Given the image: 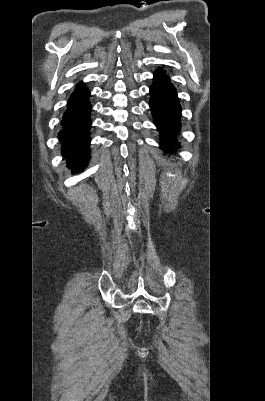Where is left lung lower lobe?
<instances>
[{
	"label": "left lung lower lobe",
	"instance_id": "left-lung-lower-lobe-1",
	"mask_svg": "<svg viewBox=\"0 0 265 401\" xmlns=\"http://www.w3.org/2000/svg\"><path fill=\"white\" fill-rule=\"evenodd\" d=\"M150 108L154 124L162 135L161 147L171 151L175 145L174 136L180 129L181 106L177 92L170 79L162 70L154 73V82L150 87Z\"/></svg>",
	"mask_w": 265,
	"mask_h": 401
}]
</instances>
